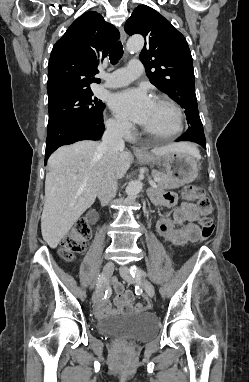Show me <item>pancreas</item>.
<instances>
[{"instance_id":"pancreas-1","label":"pancreas","mask_w":249,"mask_h":382,"mask_svg":"<svg viewBox=\"0 0 249 382\" xmlns=\"http://www.w3.org/2000/svg\"><path fill=\"white\" fill-rule=\"evenodd\" d=\"M152 175L155 178L161 179V181L157 182V189L159 190L177 189L181 185H183V183L179 179L170 177L169 175L161 171L153 170Z\"/></svg>"}]
</instances>
